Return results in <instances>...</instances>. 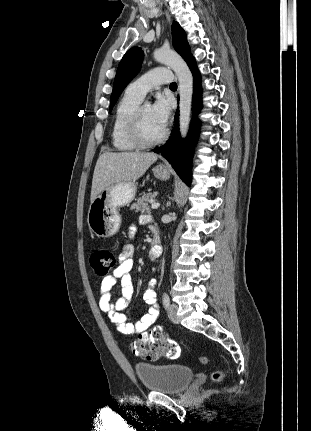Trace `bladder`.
Listing matches in <instances>:
<instances>
[{"label": "bladder", "instance_id": "obj_1", "mask_svg": "<svg viewBox=\"0 0 311 431\" xmlns=\"http://www.w3.org/2000/svg\"><path fill=\"white\" fill-rule=\"evenodd\" d=\"M134 370L146 390L158 393L182 392L194 378L193 370L182 364L137 363Z\"/></svg>", "mask_w": 311, "mask_h": 431}]
</instances>
